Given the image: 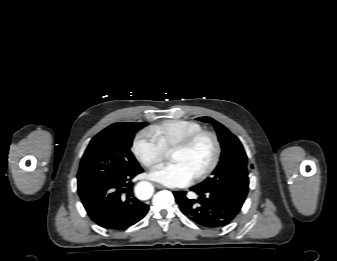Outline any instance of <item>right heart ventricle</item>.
<instances>
[{
  "label": "right heart ventricle",
  "instance_id": "e07e8e85",
  "mask_svg": "<svg viewBox=\"0 0 337 261\" xmlns=\"http://www.w3.org/2000/svg\"><path fill=\"white\" fill-rule=\"evenodd\" d=\"M203 130V127L190 120H167L151 128V133L166 152L172 151L180 142L191 134Z\"/></svg>",
  "mask_w": 337,
  "mask_h": 261
}]
</instances>
